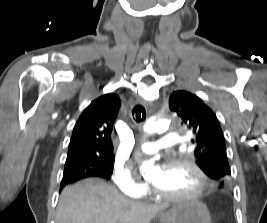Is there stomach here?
<instances>
[{"label":"stomach","mask_w":267,"mask_h":223,"mask_svg":"<svg viewBox=\"0 0 267 223\" xmlns=\"http://www.w3.org/2000/svg\"><path fill=\"white\" fill-rule=\"evenodd\" d=\"M162 223H211L207 206L198 200L178 202L160 216Z\"/></svg>","instance_id":"1"}]
</instances>
